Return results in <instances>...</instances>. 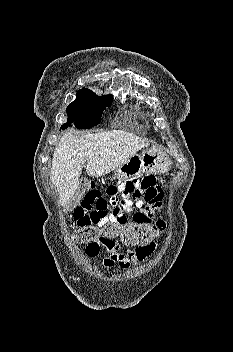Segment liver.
<instances>
[{"label":"liver","mask_w":233,"mask_h":352,"mask_svg":"<svg viewBox=\"0 0 233 352\" xmlns=\"http://www.w3.org/2000/svg\"><path fill=\"white\" fill-rule=\"evenodd\" d=\"M148 145V142L124 130L83 135L72 131L65 133L53 154L50 173V179L59 193V204H67L77 193L86 161L89 176H103Z\"/></svg>","instance_id":"obj_1"}]
</instances>
